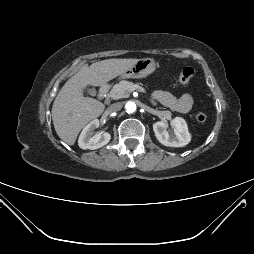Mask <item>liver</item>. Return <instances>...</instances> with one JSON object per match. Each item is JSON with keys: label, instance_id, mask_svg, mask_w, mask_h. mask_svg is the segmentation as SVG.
Returning a JSON list of instances; mask_svg holds the SVG:
<instances>
[{"label": "liver", "instance_id": "liver-1", "mask_svg": "<svg viewBox=\"0 0 254 254\" xmlns=\"http://www.w3.org/2000/svg\"><path fill=\"white\" fill-rule=\"evenodd\" d=\"M138 59H107L88 66L85 64L72 76L57 94L52 106V120L57 135L68 145H74L81 129L99 117L105 105L93 98L84 97L88 85L102 86L120 76Z\"/></svg>", "mask_w": 254, "mask_h": 254}]
</instances>
